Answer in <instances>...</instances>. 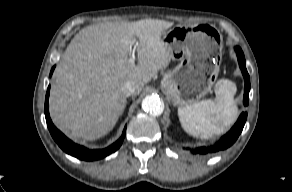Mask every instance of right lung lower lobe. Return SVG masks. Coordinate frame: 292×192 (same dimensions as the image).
Returning a JSON list of instances; mask_svg holds the SVG:
<instances>
[{
    "label": "right lung lower lobe",
    "instance_id": "right-lung-lower-lobe-1",
    "mask_svg": "<svg viewBox=\"0 0 292 192\" xmlns=\"http://www.w3.org/2000/svg\"><path fill=\"white\" fill-rule=\"evenodd\" d=\"M53 70H54V67L51 70L50 76L52 75ZM49 90H50V86L47 89L46 98H45L46 122L53 139L56 141V143L61 147L63 151H65L67 154H70L78 159L93 161V160H98V159L108 156L109 154L115 152L121 146L124 140L126 127L124 128L123 134L117 142L113 143L108 148H105L102 150H89L70 141L53 125L50 119L49 111H48Z\"/></svg>",
    "mask_w": 292,
    "mask_h": 192
}]
</instances>
